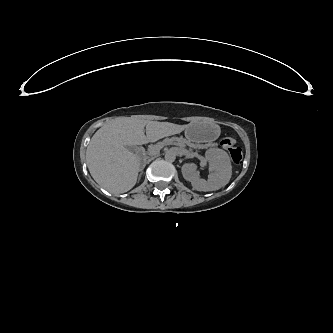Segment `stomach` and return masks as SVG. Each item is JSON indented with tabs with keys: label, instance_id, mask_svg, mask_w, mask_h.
Returning <instances> with one entry per match:
<instances>
[{
	"label": "stomach",
	"instance_id": "obj_1",
	"mask_svg": "<svg viewBox=\"0 0 333 333\" xmlns=\"http://www.w3.org/2000/svg\"><path fill=\"white\" fill-rule=\"evenodd\" d=\"M188 139L191 140V141H194L191 137L188 136Z\"/></svg>",
	"mask_w": 333,
	"mask_h": 333
}]
</instances>
